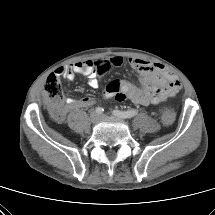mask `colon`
<instances>
[{"label":"colon","mask_w":215,"mask_h":215,"mask_svg":"<svg viewBox=\"0 0 215 215\" xmlns=\"http://www.w3.org/2000/svg\"><path fill=\"white\" fill-rule=\"evenodd\" d=\"M173 95V93L171 94ZM44 97L48 108L55 116L61 115L63 91L58 75L51 74L44 84ZM175 118L171 110H165L162 114V122L165 125L173 123Z\"/></svg>","instance_id":"obj_1"}]
</instances>
